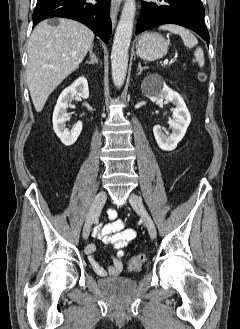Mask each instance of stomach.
Instances as JSON below:
<instances>
[{
  "mask_svg": "<svg viewBox=\"0 0 240 329\" xmlns=\"http://www.w3.org/2000/svg\"><path fill=\"white\" fill-rule=\"evenodd\" d=\"M168 42L158 33L147 32L137 42V55L147 61L162 58L168 51Z\"/></svg>",
  "mask_w": 240,
  "mask_h": 329,
  "instance_id": "0dacf381",
  "label": "stomach"
}]
</instances>
